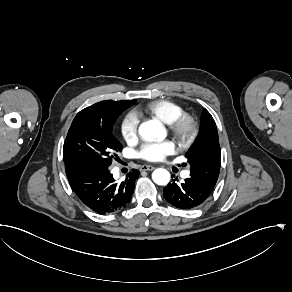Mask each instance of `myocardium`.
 <instances>
[{
    "label": "myocardium",
    "instance_id": "f54148a6",
    "mask_svg": "<svg viewBox=\"0 0 292 292\" xmlns=\"http://www.w3.org/2000/svg\"><path fill=\"white\" fill-rule=\"evenodd\" d=\"M170 129L174 136L183 144H190L197 134L195 121L187 114H181L175 119L170 124Z\"/></svg>",
    "mask_w": 292,
    "mask_h": 292
}]
</instances>
